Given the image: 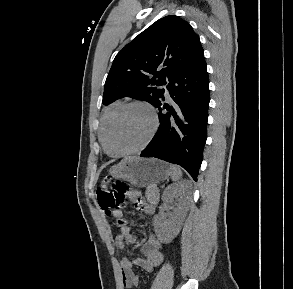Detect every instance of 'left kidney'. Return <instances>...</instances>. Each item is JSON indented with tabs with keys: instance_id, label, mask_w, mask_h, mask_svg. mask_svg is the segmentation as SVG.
Wrapping results in <instances>:
<instances>
[{
	"instance_id": "obj_1",
	"label": "left kidney",
	"mask_w": 293,
	"mask_h": 289,
	"mask_svg": "<svg viewBox=\"0 0 293 289\" xmlns=\"http://www.w3.org/2000/svg\"><path fill=\"white\" fill-rule=\"evenodd\" d=\"M189 188L190 182L183 180L168 186L164 191L162 200L166 205L172 204L174 198L178 200V204L173 208V214L169 221L163 223L162 215H156L153 218L154 230L161 242L170 243L179 233L187 212V191Z\"/></svg>"
}]
</instances>
